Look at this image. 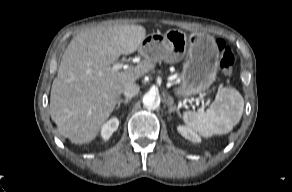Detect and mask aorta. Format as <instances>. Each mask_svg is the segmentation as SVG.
Wrapping results in <instances>:
<instances>
[{
	"mask_svg": "<svg viewBox=\"0 0 292 192\" xmlns=\"http://www.w3.org/2000/svg\"><path fill=\"white\" fill-rule=\"evenodd\" d=\"M144 107L147 109H156L160 105V99L154 92H147L144 94L142 99Z\"/></svg>",
	"mask_w": 292,
	"mask_h": 192,
	"instance_id": "obj_1",
	"label": "aorta"
}]
</instances>
